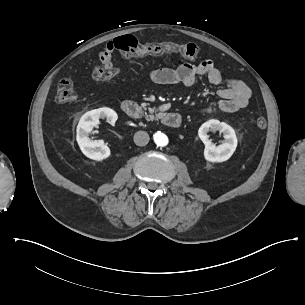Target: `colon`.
<instances>
[{"instance_id":"1","label":"colon","mask_w":305,"mask_h":305,"mask_svg":"<svg viewBox=\"0 0 305 305\" xmlns=\"http://www.w3.org/2000/svg\"><path fill=\"white\" fill-rule=\"evenodd\" d=\"M117 43V54H129L131 56H137L142 54H164L170 52H178L186 58H197L199 54V49L197 45L193 43H170L164 42L158 46L149 45L143 46L139 45V40L136 36L126 34L122 37H117L114 39ZM118 73L117 67L113 69H108L104 66H97L92 72L93 81H102L110 79L116 76ZM76 99V90L74 82L71 78H63L60 80L57 86L56 101L59 103H67L74 101ZM256 124L259 128L263 129L266 127L267 121L264 116H259L256 119Z\"/></svg>"}]
</instances>
